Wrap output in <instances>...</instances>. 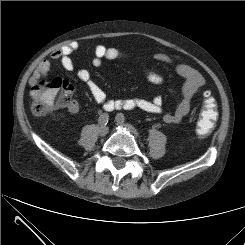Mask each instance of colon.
<instances>
[{"label":"colon","mask_w":245,"mask_h":245,"mask_svg":"<svg viewBox=\"0 0 245 245\" xmlns=\"http://www.w3.org/2000/svg\"><path fill=\"white\" fill-rule=\"evenodd\" d=\"M72 85L61 78L39 81L31 89L32 111L35 115H47L55 109L69 108L72 104ZM217 120L214 96L208 90L203 92V110L197 121L199 136L209 135Z\"/></svg>","instance_id":"1"}]
</instances>
